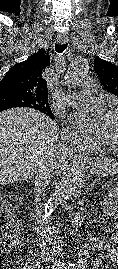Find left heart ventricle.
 Listing matches in <instances>:
<instances>
[{
    "label": "left heart ventricle",
    "instance_id": "b2bd125f",
    "mask_svg": "<svg viewBox=\"0 0 118 269\" xmlns=\"http://www.w3.org/2000/svg\"><path fill=\"white\" fill-rule=\"evenodd\" d=\"M95 129L97 130V136L101 139L118 143V113L106 115L98 120Z\"/></svg>",
    "mask_w": 118,
    "mask_h": 269
}]
</instances>
